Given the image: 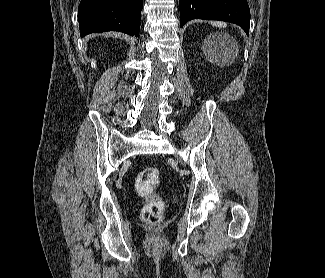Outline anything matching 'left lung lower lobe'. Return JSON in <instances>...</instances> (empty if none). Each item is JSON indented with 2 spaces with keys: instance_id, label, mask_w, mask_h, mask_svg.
Returning a JSON list of instances; mask_svg holds the SVG:
<instances>
[{
  "instance_id": "0a47b994",
  "label": "left lung lower lobe",
  "mask_w": 325,
  "mask_h": 278,
  "mask_svg": "<svg viewBox=\"0 0 325 278\" xmlns=\"http://www.w3.org/2000/svg\"><path fill=\"white\" fill-rule=\"evenodd\" d=\"M181 24L192 19L221 20L238 24L248 35L250 10L247 0H179Z\"/></svg>"
}]
</instances>
